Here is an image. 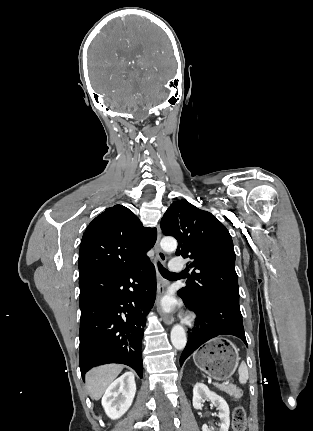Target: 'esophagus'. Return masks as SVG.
Returning a JSON list of instances; mask_svg holds the SVG:
<instances>
[{
    "label": "esophagus",
    "instance_id": "34e87169",
    "mask_svg": "<svg viewBox=\"0 0 313 431\" xmlns=\"http://www.w3.org/2000/svg\"><path fill=\"white\" fill-rule=\"evenodd\" d=\"M160 239H161V229L158 226L157 227V239H156V242L154 245V250H155L157 259L161 263H165L166 262V255L160 247ZM156 272H157V300L159 301L161 295L164 292V288H165L166 284H165V281L163 280V278L161 277L157 268H156ZM158 310L160 312V316H161V319L163 320V322L166 325H171L174 321L173 317L171 315L163 313L159 306H158Z\"/></svg>",
    "mask_w": 313,
    "mask_h": 431
}]
</instances>
